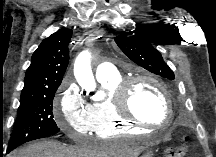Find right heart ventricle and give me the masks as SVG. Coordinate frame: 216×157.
<instances>
[{"mask_svg":"<svg viewBox=\"0 0 216 157\" xmlns=\"http://www.w3.org/2000/svg\"><path fill=\"white\" fill-rule=\"evenodd\" d=\"M122 81L123 76L119 73L99 81L106 95L103 99L94 101L90 105L93 117V132L98 138L121 135L135 136L143 133L141 128L120 118L116 111L115 90Z\"/></svg>","mask_w":216,"mask_h":157,"instance_id":"obj_1","label":"right heart ventricle"}]
</instances>
